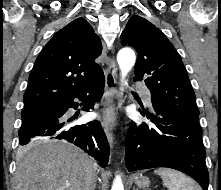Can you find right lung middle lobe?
Returning a JSON list of instances; mask_svg holds the SVG:
<instances>
[{
    "label": "right lung middle lobe",
    "instance_id": "obj_1",
    "mask_svg": "<svg viewBox=\"0 0 221 190\" xmlns=\"http://www.w3.org/2000/svg\"><path fill=\"white\" fill-rule=\"evenodd\" d=\"M47 106H42V107H37V108H29V109H23V111L21 112V117L22 120L31 117L33 115H35L36 113H39L40 111H42L43 109H45Z\"/></svg>",
    "mask_w": 221,
    "mask_h": 190
}]
</instances>
